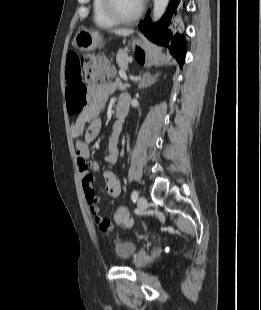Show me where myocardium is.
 I'll list each match as a JSON object with an SVG mask.
<instances>
[{
	"mask_svg": "<svg viewBox=\"0 0 261 310\" xmlns=\"http://www.w3.org/2000/svg\"><path fill=\"white\" fill-rule=\"evenodd\" d=\"M101 1H102V9L105 15L117 24L132 23L138 20L143 12V4H141L138 11L135 14L125 17L117 12L113 0H101Z\"/></svg>",
	"mask_w": 261,
	"mask_h": 310,
	"instance_id": "1",
	"label": "myocardium"
}]
</instances>
